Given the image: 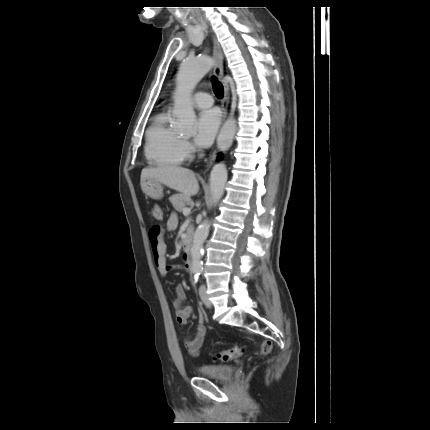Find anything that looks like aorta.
<instances>
[{
	"label": "aorta",
	"instance_id": "762f6f07",
	"mask_svg": "<svg viewBox=\"0 0 430 430\" xmlns=\"http://www.w3.org/2000/svg\"><path fill=\"white\" fill-rule=\"evenodd\" d=\"M213 60L210 57H195L184 59L178 71V86L174 94L173 113L176 116V129L183 134H191L194 130L196 115L188 99L193 87L210 71ZM236 133V123L228 120L222 126L217 138L220 151L228 150ZM227 169L223 162L214 165L210 173V186L213 202L217 203L224 193L227 181ZM210 223L208 220L202 222L194 233L193 245L190 252V269L198 273L203 269L202 254L203 244L208 237Z\"/></svg>",
	"mask_w": 430,
	"mask_h": 430
}]
</instances>
